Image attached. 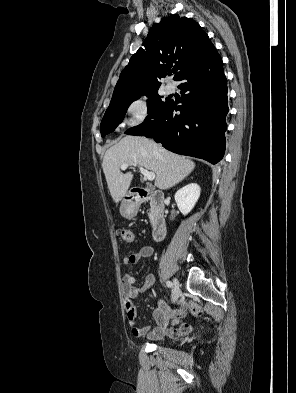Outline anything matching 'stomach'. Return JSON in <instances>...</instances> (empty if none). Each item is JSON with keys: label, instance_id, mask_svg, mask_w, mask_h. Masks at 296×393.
<instances>
[{"label": "stomach", "instance_id": "1", "mask_svg": "<svg viewBox=\"0 0 296 393\" xmlns=\"http://www.w3.org/2000/svg\"><path fill=\"white\" fill-rule=\"evenodd\" d=\"M120 214L124 218H132L133 216H135L136 211L130 202L124 200L120 206Z\"/></svg>", "mask_w": 296, "mask_h": 393}]
</instances>
